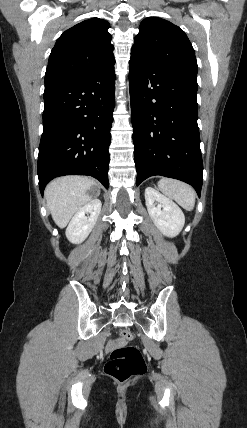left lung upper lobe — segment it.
I'll return each instance as SVG.
<instances>
[{
  "label": "left lung upper lobe",
  "mask_w": 247,
  "mask_h": 428,
  "mask_svg": "<svg viewBox=\"0 0 247 428\" xmlns=\"http://www.w3.org/2000/svg\"><path fill=\"white\" fill-rule=\"evenodd\" d=\"M131 55L148 59L165 71L197 84L194 49L185 32L169 21L156 17L144 19Z\"/></svg>",
  "instance_id": "1"
}]
</instances>
